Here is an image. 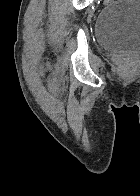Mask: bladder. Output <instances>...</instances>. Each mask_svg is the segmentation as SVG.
<instances>
[{
  "label": "bladder",
  "instance_id": "31cf9c89",
  "mask_svg": "<svg viewBox=\"0 0 140 196\" xmlns=\"http://www.w3.org/2000/svg\"><path fill=\"white\" fill-rule=\"evenodd\" d=\"M97 44L108 51L140 53V0H117L97 16Z\"/></svg>",
  "mask_w": 140,
  "mask_h": 196
}]
</instances>
